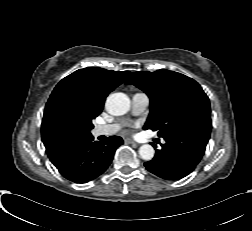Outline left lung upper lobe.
<instances>
[{
	"mask_svg": "<svg viewBox=\"0 0 252 231\" xmlns=\"http://www.w3.org/2000/svg\"><path fill=\"white\" fill-rule=\"evenodd\" d=\"M150 98V114L144 129L158 130L159 137L185 129L211 132V110L207 95L193 79L166 69L134 72L125 82Z\"/></svg>",
	"mask_w": 252,
	"mask_h": 231,
	"instance_id": "5c2ea615",
	"label": "left lung upper lobe"
}]
</instances>
